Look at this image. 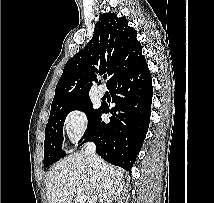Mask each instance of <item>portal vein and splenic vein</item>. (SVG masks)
<instances>
[{
  "label": "portal vein and splenic vein",
  "mask_w": 214,
  "mask_h": 203,
  "mask_svg": "<svg viewBox=\"0 0 214 203\" xmlns=\"http://www.w3.org/2000/svg\"><path fill=\"white\" fill-rule=\"evenodd\" d=\"M77 197H76V201L78 203H84L87 199L86 195L83 193V189L82 188H77Z\"/></svg>",
  "instance_id": "18ae733b"
}]
</instances>
